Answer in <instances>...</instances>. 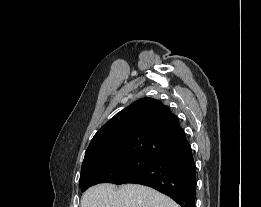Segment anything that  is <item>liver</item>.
Listing matches in <instances>:
<instances>
[{
	"label": "liver",
	"instance_id": "obj_1",
	"mask_svg": "<svg viewBox=\"0 0 261 207\" xmlns=\"http://www.w3.org/2000/svg\"><path fill=\"white\" fill-rule=\"evenodd\" d=\"M80 207H180L168 196L139 184L116 188L105 183L88 188L81 197Z\"/></svg>",
	"mask_w": 261,
	"mask_h": 207
}]
</instances>
